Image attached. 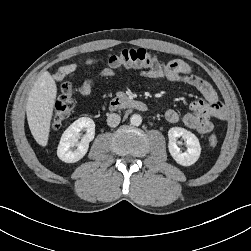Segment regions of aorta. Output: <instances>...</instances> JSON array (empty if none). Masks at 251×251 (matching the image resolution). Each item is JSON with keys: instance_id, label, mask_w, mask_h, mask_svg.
I'll list each match as a JSON object with an SVG mask.
<instances>
[{"instance_id": "762f6f07", "label": "aorta", "mask_w": 251, "mask_h": 251, "mask_svg": "<svg viewBox=\"0 0 251 251\" xmlns=\"http://www.w3.org/2000/svg\"><path fill=\"white\" fill-rule=\"evenodd\" d=\"M130 122L134 126H139L142 123V117L139 114H133L130 118Z\"/></svg>"}]
</instances>
